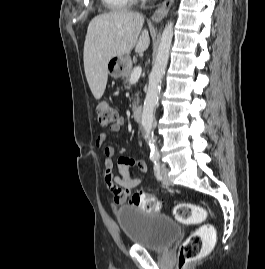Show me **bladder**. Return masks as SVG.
I'll list each match as a JSON object with an SVG mask.
<instances>
[{"label":"bladder","instance_id":"31cf9c89","mask_svg":"<svg viewBox=\"0 0 265 269\" xmlns=\"http://www.w3.org/2000/svg\"><path fill=\"white\" fill-rule=\"evenodd\" d=\"M116 219L131 244L152 251L169 249L181 235L180 225L170 217L133 205L118 208Z\"/></svg>","mask_w":265,"mask_h":269}]
</instances>
